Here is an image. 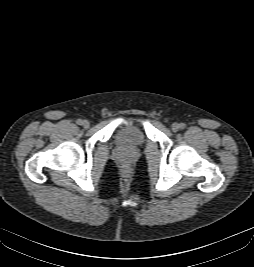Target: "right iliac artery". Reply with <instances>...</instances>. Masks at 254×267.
<instances>
[{"instance_id": "right-iliac-artery-1", "label": "right iliac artery", "mask_w": 254, "mask_h": 267, "mask_svg": "<svg viewBox=\"0 0 254 267\" xmlns=\"http://www.w3.org/2000/svg\"><path fill=\"white\" fill-rule=\"evenodd\" d=\"M76 123H77L78 125H82L83 121H82L81 119H78V120L76 121Z\"/></svg>"}]
</instances>
